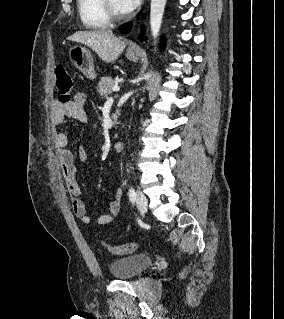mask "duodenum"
Here are the masks:
<instances>
[{"label": "duodenum", "mask_w": 284, "mask_h": 319, "mask_svg": "<svg viewBox=\"0 0 284 319\" xmlns=\"http://www.w3.org/2000/svg\"><path fill=\"white\" fill-rule=\"evenodd\" d=\"M124 146H125V144H124V142L121 141V140L114 143V149H115L116 151H122L123 148H124Z\"/></svg>", "instance_id": "410a0bca"}]
</instances>
